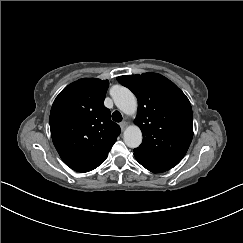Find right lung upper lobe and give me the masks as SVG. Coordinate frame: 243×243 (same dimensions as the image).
<instances>
[{
    "instance_id": "right-lung-upper-lobe-1",
    "label": "right lung upper lobe",
    "mask_w": 243,
    "mask_h": 243,
    "mask_svg": "<svg viewBox=\"0 0 243 243\" xmlns=\"http://www.w3.org/2000/svg\"><path fill=\"white\" fill-rule=\"evenodd\" d=\"M107 80L84 78L64 88L50 113L53 143L73 170L88 172L106 159L121 130L104 106Z\"/></svg>"
}]
</instances>
